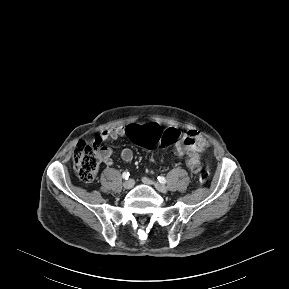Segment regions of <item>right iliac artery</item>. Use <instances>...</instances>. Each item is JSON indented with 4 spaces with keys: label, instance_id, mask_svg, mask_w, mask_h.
I'll use <instances>...</instances> for the list:
<instances>
[{
    "label": "right iliac artery",
    "instance_id": "obj_1",
    "mask_svg": "<svg viewBox=\"0 0 289 289\" xmlns=\"http://www.w3.org/2000/svg\"><path fill=\"white\" fill-rule=\"evenodd\" d=\"M129 176H130V174H129V172H127V171L123 172V174H122V177H123L125 180H127V179L129 178Z\"/></svg>",
    "mask_w": 289,
    "mask_h": 289
}]
</instances>
